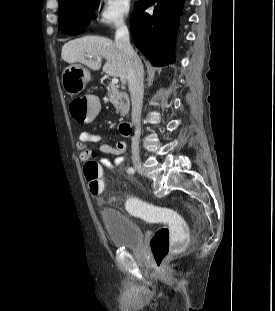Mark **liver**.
<instances>
[{"instance_id":"6515ba94","label":"liver","mask_w":275,"mask_h":311,"mask_svg":"<svg viewBox=\"0 0 275 311\" xmlns=\"http://www.w3.org/2000/svg\"><path fill=\"white\" fill-rule=\"evenodd\" d=\"M61 57L67 63H82L97 71L101 68V61L105 58L103 72L119 77L125 84L128 77V60L123 51L111 39L100 36H85L71 40L62 47ZM92 57V58H91Z\"/></svg>"}]
</instances>
